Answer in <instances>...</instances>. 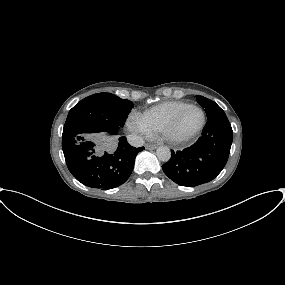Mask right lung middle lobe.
I'll list each match as a JSON object with an SVG mask.
<instances>
[{"label":"right lung middle lobe","mask_w":285,"mask_h":285,"mask_svg":"<svg viewBox=\"0 0 285 285\" xmlns=\"http://www.w3.org/2000/svg\"><path fill=\"white\" fill-rule=\"evenodd\" d=\"M129 100L111 93H97L78 102L69 112L62 138L78 135L117 134L133 107Z\"/></svg>","instance_id":"right-lung-middle-lobe-1"}]
</instances>
